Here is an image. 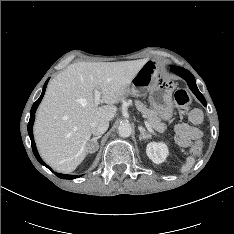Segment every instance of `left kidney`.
<instances>
[{
    "label": "left kidney",
    "instance_id": "1",
    "mask_svg": "<svg viewBox=\"0 0 234 234\" xmlns=\"http://www.w3.org/2000/svg\"><path fill=\"white\" fill-rule=\"evenodd\" d=\"M146 153L154 163L160 164L166 160L169 150L163 142H151L146 147Z\"/></svg>",
    "mask_w": 234,
    "mask_h": 234
}]
</instances>
